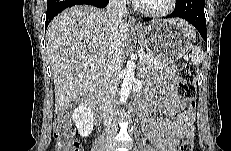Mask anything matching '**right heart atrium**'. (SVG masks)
Returning <instances> with one entry per match:
<instances>
[{
  "label": "right heart atrium",
  "mask_w": 231,
  "mask_h": 151,
  "mask_svg": "<svg viewBox=\"0 0 231 151\" xmlns=\"http://www.w3.org/2000/svg\"><path fill=\"white\" fill-rule=\"evenodd\" d=\"M116 3H117L119 6H124V5H125V1H123V0H117Z\"/></svg>",
  "instance_id": "right-heart-atrium-1"
}]
</instances>
